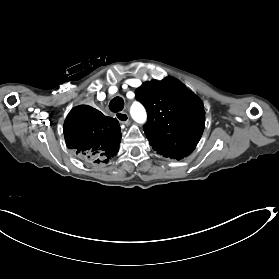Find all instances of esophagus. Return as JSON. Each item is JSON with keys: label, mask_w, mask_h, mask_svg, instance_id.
Listing matches in <instances>:
<instances>
[{"label": "esophagus", "mask_w": 279, "mask_h": 279, "mask_svg": "<svg viewBox=\"0 0 279 279\" xmlns=\"http://www.w3.org/2000/svg\"><path fill=\"white\" fill-rule=\"evenodd\" d=\"M116 119L123 124H127L129 122V115L126 112L119 111L115 114Z\"/></svg>", "instance_id": "1"}]
</instances>
